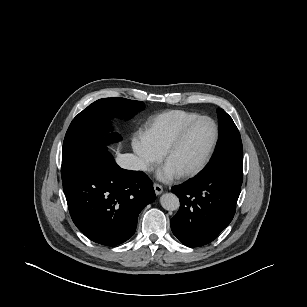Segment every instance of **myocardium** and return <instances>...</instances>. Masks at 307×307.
Returning a JSON list of instances; mask_svg holds the SVG:
<instances>
[{
  "mask_svg": "<svg viewBox=\"0 0 307 307\" xmlns=\"http://www.w3.org/2000/svg\"><path fill=\"white\" fill-rule=\"evenodd\" d=\"M202 121H208L213 126L214 135H213L212 142H211L205 156L203 157L202 161L196 167H194L193 169L188 170V171L183 172V173H180L178 175L180 178H183V179L192 178V177L198 175L201 171H203L205 169V167L208 165V163H209V161H210V159H211V157H212V155L215 151L218 140H219V127H218V124L216 123V121L214 119H212L211 117H208V116H199V117L189 121L178 131V133L175 135V137L172 139V141L169 143V145L167 146V148L165 149V151L163 153V161H164V163H166V161L168 160L170 155L181 144V142L183 141L185 136L188 134V132L196 124H198Z\"/></svg>",
  "mask_w": 307,
  "mask_h": 307,
  "instance_id": "obj_1",
  "label": "myocardium"
}]
</instances>
